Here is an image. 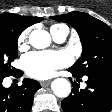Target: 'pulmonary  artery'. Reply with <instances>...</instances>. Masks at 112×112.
<instances>
[{
	"instance_id": "1",
	"label": "pulmonary artery",
	"mask_w": 112,
	"mask_h": 112,
	"mask_svg": "<svg viewBox=\"0 0 112 112\" xmlns=\"http://www.w3.org/2000/svg\"><path fill=\"white\" fill-rule=\"evenodd\" d=\"M67 34H68V28H65L63 29L62 31L58 32L54 37V39L57 41V42H63L66 37H67Z\"/></svg>"
}]
</instances>
